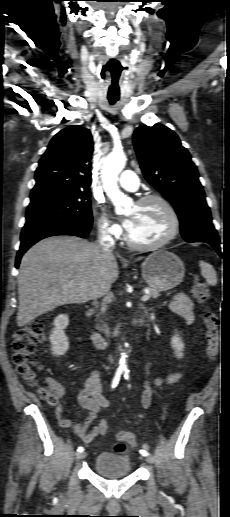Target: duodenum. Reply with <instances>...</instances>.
Listing matches in <instances>:
<instances>
[{"label":"duodenum","instance_id":"410a0bca","mask_svg":"<svg viewBox=\"0 0 230 517\" xmlns=\"http://www.w3.org/2000/svg\"><path fill=\"white\" fill-rule=\"evenodd\" d=\"M95 313V308L92 307L87 310L86 317L90 318ZM143 320L141 318H136L133 320L134 326L142 325ZM91 338L94 344L100 349H106L109 345V340L106 339L99 331L90 328Z\"/></svg>","mask_w":230,"mask_h":517}]
</instances>
